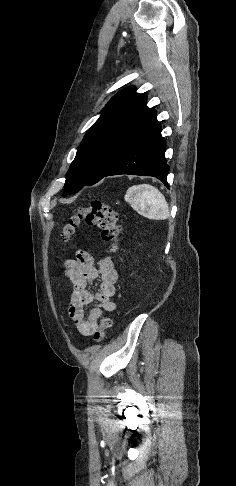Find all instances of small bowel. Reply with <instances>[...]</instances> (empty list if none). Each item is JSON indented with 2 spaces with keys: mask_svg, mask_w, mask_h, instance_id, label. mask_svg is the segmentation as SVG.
Wrapping results in <instances>:
<instances>
[{
  "mask_svg": "<svg viewBox=\"0 0 236 486\" xmlns=\"http://www.w3.org/2000/svg\"><path fill=\"white\" fill-rule=\"evenodd\" d=\"M66 266L67 275L74 287L69 317L80 334L92 336L97 330L101 316L116 310V303L112 298L116 291L117 270L110 257L96 260L84 252H79L76 259L68 260ZM97 279L100 281L99 291L92 293L89 286ZM94 302L95 306L86 316L84 308Z\"/></svg>",
  "mask_w": 236,
  "mask_h": 486,
  "instance_id": "1",
  "label": "small bowel"
}]
</instances>
